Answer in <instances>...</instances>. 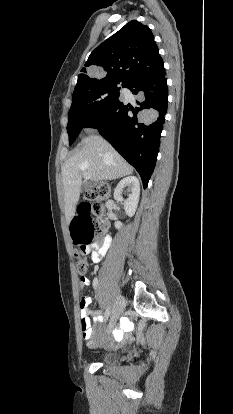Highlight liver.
I'll return each mask as SVG.
<instances>
[{"instance_id": "liver-1", "label": "liver", "mask_w": 233, "mask_h": 414, "mask_svg": "<svg viewBox=\"0 0 233 414\" xmlns=\"http://www.w3.org/2000/svg\"><path fill=\"white\" fill-rule=\"evenodd\" d=\"M133 173L131 165L101 136L90 135L62 166L65 217L70 222L79 201L82 179L114 180Z\"/></svg>"}]
</instances>
